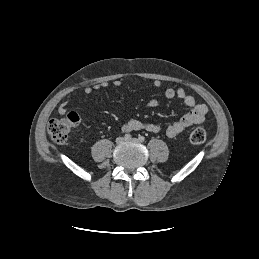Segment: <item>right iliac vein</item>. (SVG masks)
<instances>
[{
  "label": "right iliac vein",
  "instance_id": "obj_1",
  "mask_svg": "<svg viewBox=\"0 0 259 259\" xmlns=\"http://www.w3.org/2000/svg\"><path fill=\"white\" fill-rule=\"evenodd\" d=\"M124 142V138L123 137H118L117 139H116V143L117 144H121V143H123Z\"/></svg>",
  "mask_w": 259,
  "mask_h": 259
}]
</instances>
